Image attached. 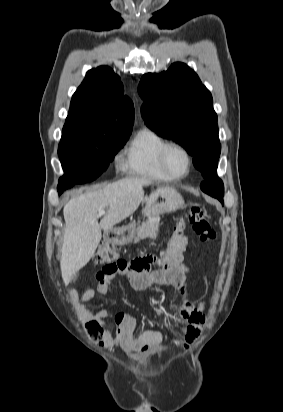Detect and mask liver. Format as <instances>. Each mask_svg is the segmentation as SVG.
Wrapping results in <instances>:
<instances>
[{"label":"liver","mask_w":283,"mask_h":412,"mask_svg":"<svg viewBox=\"0 0 283 412\" xmlns=\"http://www.w3.org/2000/svg\"><path fill=\"white\" fill-rule=\"evenodd\" d=\"M146 178H126L96 191L72 198L63 209L65 230L60 260L62 278L68 283L73 274L84 267L94 255L101 230L108 231L132 215L143 197ZM108 209L98 223L100 210Z\"/></svg>","instance_id":"obj_1"}]
</instances>
